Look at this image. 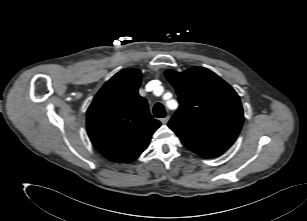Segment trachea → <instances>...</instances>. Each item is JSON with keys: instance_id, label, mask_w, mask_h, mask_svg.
Listing matches in <instances>:
<instances>
[{"instance_id": "obj_1", "label": "trachea", "mask_w": 307, "mask_h": 221, "mask_svg": "<svg viewBox=\"0 0 307 221\" xmlns=\"http://www.w3.org/2000/svg\"><path fill=\"white\" fill-rule=\"evenodd\" d=\"M153 114L157 118H163L166 116V111L161 103H156L153 107Z\"/></svg>"}]
</instances>
